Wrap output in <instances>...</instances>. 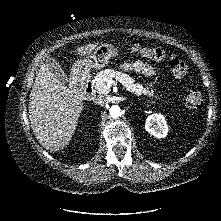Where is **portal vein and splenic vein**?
I'll return each mask as SVG.
<instances>
[{
    "instance_id": "portal-vein-and-splenic-vein-1",
    "label": "portal vein and splenic vein",
    "mask_w": 221,
    "mask_h": 221,
    "mask_svg": "<svg viewBox=\"0 0 221 221\" xmlns=\"http://www.w3.org/2000/svg\"><path fill=\"white\" fill-rule=\"evenodd\" d=\"M106 84H107V87L110 88V86H111L112 84H114V81L111 80V79H109V80L106 81Z\"/></svg>"
}]
</instances>
